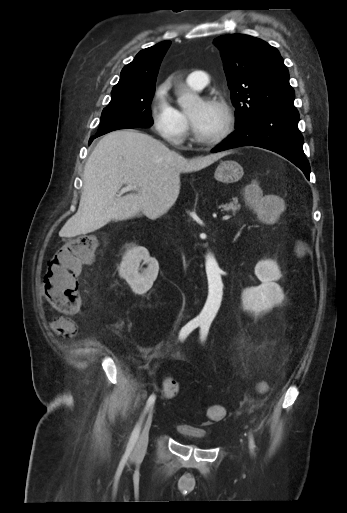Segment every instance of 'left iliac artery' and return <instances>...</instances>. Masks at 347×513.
Instances as JSON below:
<instances>
[{
    "mask_svg": "<svg viewBox=\"0 0 347 513\" xmlns=\"http://www.w3.org/2000/svg\"><path fill=\"white\" fill-rule=\"evenodd\" d=\"M210 324L211 322L209 320L207 321H204L202 324H201V328H200V339L201 341H204L207 337V334H208V331H209V328H210ZM249 447H250V450L253 451L254 450V441H253V438L252 436L249 437Z\"/></svg>",
    "mask_w": 347,
    "mask_h": 513,
    "instance_id": "obj_1",
    "label": "left iliac artery"
}]
</instances>
